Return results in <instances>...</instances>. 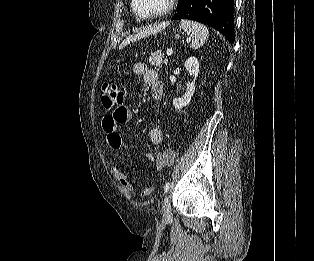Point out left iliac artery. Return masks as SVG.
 <instances>
[{"mask_svg": "<svg viewBox=\"0 0 314 261\" xmlns=\"http://www.w3.org/2000/svg\"><path fill=\"white\" fill-rule=\"evenodd\" d=\"M169 187H170V183H169V182H167V183L165 184V186H164V191H165V193H167V192H168Z\"/></svg>", "mask_w": 314, "mask_h": 261, "instance_id": "1", "label": "left iliac artery"}]
</instances>
